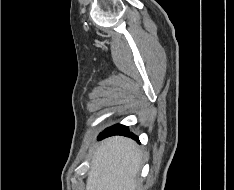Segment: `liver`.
I'll list each match as a JSON object with an SVG mask.
<instances>
[{
	"label": "liver",
	"instance_id": "1",
	"mask_svg": "<svg viewBox=\"0 0 234 190\" xmlns=\"http://www.w3.org/2000/svg\"><path fill=\"white\" fill-rule=\"evenodd\" d=\"M141 150L131 139L114 136L95 150L86 190H136Z\"/></svg>",
	"mask_w": 234,
	"mask_h": 190
}]
</instances>
